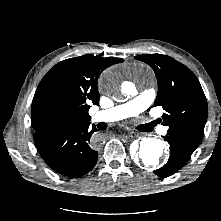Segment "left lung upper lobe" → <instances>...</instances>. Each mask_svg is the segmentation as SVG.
I'll list each match as a JSON object with an SVG mask.
<instances>
[{"instance_id":"obj_1","label":"left lung upper lobe","mask_w":221,"mask_h":221,"mask_svg":"<svg viewBox=\"0 0 221 221\" xmlns=\"http://www.w3.org/2000/svg\"><path fill=\"white\" fill-rule=\"evenodd\" d=\"M137 60L149 64L157 78L158 95L154 106H162V124L167 133L201 141L207 121V101L202 87L185 65L161 54L139 55Z\"/></svg>"}]
</instances>
